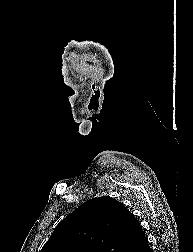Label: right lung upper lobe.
Wrapping results in <instances>:
<instances>
[{
  "label": "right lung upper lobe",
  "mask_w": 193,
  "mask_h": 252,
  "mask_svg": "<svg viewBox=\"0 0 193 252\" xmlns=\"http://www.w3.org/2000/svg\"><path fill=\"white\" fill-rule=\"evenodd\" d=\"M143 236L140 223L121 202L97 197L63 219L41 252H130Z\"/></svg>",
  "instance_id": "cb5924a9"
}]
</instances>
